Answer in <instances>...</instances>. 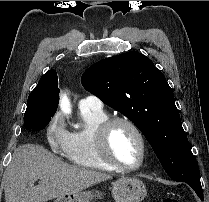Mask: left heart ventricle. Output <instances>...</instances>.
I'll return each instance as SVG.
<instances>
[{
    "label": "left heart ventricle",
    "instance_id": "b2bd125f",
    "mask_svg": "<svg viewBox=\"0 0 209 202\" xmlns=\"http://www.w3.org/2000/svg\"><path fill=\"white\" fill-rule=\"evenodd\" d=\"M111 155L118 162L127 165H136L141 157V146L136 133L125 124H117L109 136Z\"/></svg>",
    "mask_w": 209,
    "mask_h": 202
}]
</instances>
